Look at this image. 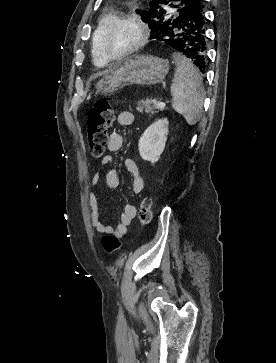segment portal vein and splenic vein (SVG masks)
I'll use <instances>...</instances> for the list:
<instances>
[{
	"label": "portal vein and splenic vein",
	"mask_w": 276,
	"mask_h": 363,
	"mask_svg": "<svg viewBox=\"0 0 276 363\" xmlns=\"http://www.w3.org/2000/svg\"><path fill=\"white\" fill-rule=\"evenodd\" d=\"M158 107H160L161 109H163L166 106V103L161 101L157 103Z\"/></svg>",
	"instance_id": "obj_1"
}]
</instances>
